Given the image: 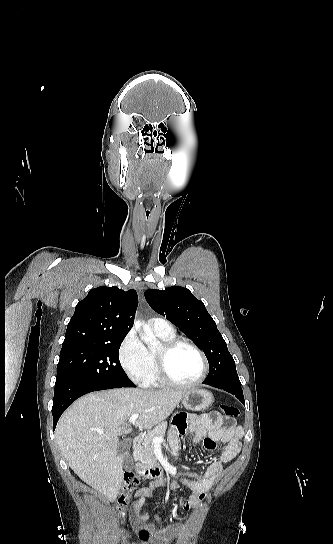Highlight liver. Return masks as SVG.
Returning a JSON list of instances; mask_svg holds the SVG:
<instances>
[{
	"label": "liver",
	"instance_id": "obj_1",
	"mask_svg": "<svg viewBox=\"0 0 333 544\" xmlns=\"http://www.w3.org/2000/svg\"><path fill=\"white\" fill-rule=\"evenodd\" d=\"M187 392L121 388L87 394L76 400L58 421L55 438L70 468L110 502L116 500L123 476L118 436L139 414L135 427L152 428L165 420Z\"/></svg>",
	"mask_w": 333,
	"mask_h": 544
}]
</instances>
